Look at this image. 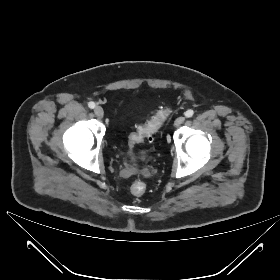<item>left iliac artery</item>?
<instances>
[{"label":"left iliac artery","instance_id":"obj_1","mask_svg":"<svg viewBox=\"0 0 280 280\" xmlns=\"http://www.w3.org/2000/svg\"><path fill=\"white\" fill-rule=\"evenodd\" d=\"M193 115H194V111L191 110V109H189V110H187V111L185 112V116H186L187 118H190V117H192Z\"/></svg>","mask_w":280,"mask_h":280}]
</instances>
